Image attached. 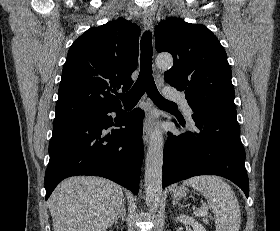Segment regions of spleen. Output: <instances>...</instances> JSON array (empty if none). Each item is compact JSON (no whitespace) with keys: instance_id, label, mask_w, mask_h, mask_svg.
<instances>
[{"instance_id":"obj_1","label":"spleen","mask_w":280,"mask_h":231,"mask_svg":"<svg viewBox=\"0 0 280 231\" xmlns=\"http://www.w3.org/2000/svg\"><path fill=\"white\" fill-rule=\"evenodd\" d=\"M205 195L215 213L216 231H239L241 211L239 201L230 185L218 175H195L183 181Z\"/></svg>"}]
</instances>
